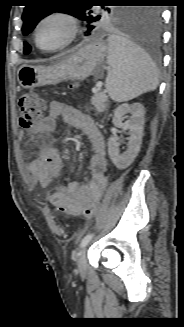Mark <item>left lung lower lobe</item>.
I'll use <instances>...</instances> for the list:
<instances>
[{
	"label": "left lung lower lobe",
	"mask_w": 184,
	"mask_h": 327,
	"mask_svg": "<svg viewBox=\"0 0 184 327\" xmlns=\"http://www.w3.org/2000/svg\"><path fill=\"white\" fill-rule=\"evenodd\" d=\"M135 42L145 52L156 56L160 49L161 15L154 8L142 9L139 22L134 25Z\"/></svg>",
	"instance_id": "obj_1"
}]
</instances>
